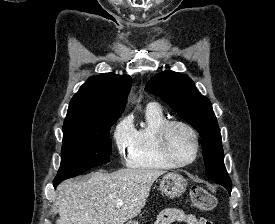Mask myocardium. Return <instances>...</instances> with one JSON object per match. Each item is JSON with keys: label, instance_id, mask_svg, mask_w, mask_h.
Instances as JSON below:
<instances>
[{"label": "myocardium", "instance_id": "1", "mask_svg": "<svg viewBox=\"0 0 275 224\" xmlns=\"http://www.w3.org/2000/svg\"><path fill=\"white\" fill-rule=\"evenodd\" d=\"M182 127L186 129L194 140L195 150L194 155L190 160L179 161L170 152L168 147V135L172 128ZM156 144L160 155L164 160L174 167H186L194 163L200 155V139L197 131L189 123L182 120H167L163 123L156 134Z\"/></svg>", "mask_w": 275, "mask_h": 224}]
</instances>
